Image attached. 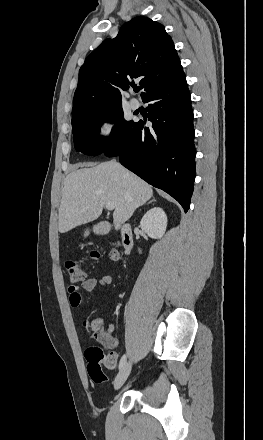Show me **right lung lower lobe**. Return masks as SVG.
<instances>
[{"label":"right lung lower lobe","mask_w":263,"mask_h":440,"mask_svg":"<svg viewBox=\"0 0 263 440\" xmlns=\"http://www.w3.org/2000/svg\"><path fill=\"white\" fill-rule=\"evenodd\" d=\"M151 128L136 122L105 150L149 184L174 197L187 212L196 175L193 111L183 71L142 97Z\"/></svg>","instance_id":"right-lung-lower-lobe-1"}]
</instances>
